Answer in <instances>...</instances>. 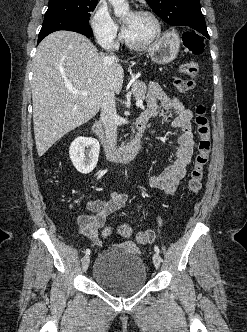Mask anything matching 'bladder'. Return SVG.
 <instances>
[{
	"label": "bladder",
	"instance_id": "obj_1",
	"mask_svg": "<svg viewBox=\"0 0 247 332\" xmlns=\"http://www.w3.org/2000/svg\"><path fill=\"white\" fill-rule=\"evenodd\" d=\"M93 279L104 291L115 296H128L147 283V267L131 244L107 247L99 253L93 266Z\"/></svg>",
	"mask_w": 247,
	"mask_h": 332
}]
</instances>
